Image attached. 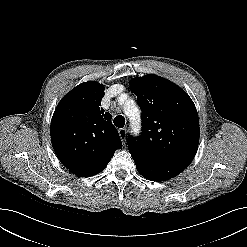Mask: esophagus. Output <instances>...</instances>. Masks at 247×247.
Listing matches in <instances>:
<instances>
[{
  "instance_id": "34e87169",
  "label": "esophagus",
  "mask_w": 247,
  "mask_h": 247,
  "mask_svg": "<svg viewBox=\"0 0 247 247\" xmlns=\"http://www.w3.org/2000/svg\"><path fill=\"white\" fill-rule=\"evenodd\" d=\"M118 132H119V136H120V138L122 140V143L125 144V142H126V133H127L126 129L125 128H121V129L118 130Z\"/></svg>"
}]
</instances>
